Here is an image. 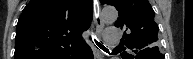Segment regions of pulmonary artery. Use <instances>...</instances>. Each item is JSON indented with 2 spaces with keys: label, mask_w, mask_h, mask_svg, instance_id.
<instances>
[{
  "label": "pulmonary artery",
  "mask_w": 193,
  "mask_h": 59,
  "mask_svg": "<svg viewBox=\"0 0 193 59\" xmlns=\"http://www.w3.org/2000/svg\"><path fill=\"white\" fill-rule=\"evenodd\" d=\"M106 40L109 44H118V37L113 33V30L109 29L106 32Z\"/></svg>",
  "instance_id": "1"
}]
</instances>
